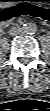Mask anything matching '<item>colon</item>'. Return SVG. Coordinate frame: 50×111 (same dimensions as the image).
I'll return each mask as SVG.
<instances>
[{"mask_svg": "<svg viewBox=\"0 0 50 111\" xmlns=\"http://www.w3.org/2000/svg\"><path fill=\"white\" fill-rule=\"evenodd\" d=\"M18 17H35L44 21L50 20V11L47 8L32 3H23L2 11L0 21L6 23Z\"/></svg>", "mask_w": 50, "mask_h": 111, "instance_id": "5ec220e1", "label": "colon"}]
</instances>
